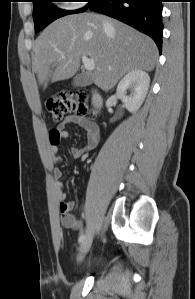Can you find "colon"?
<instances>
[{
	"mask_svg": "<svg viewBox=\"0 0 195 299\" xmlns=\"http://www.w3.org/2000/svg\"><path fill=\"white\" fill-rule=\"evenodd\" d=\"M46 109L51 114L54 122L61 121L71 112L81 116L87 115L90 112L86 95L82 92L50 97L46 101Z\"/></svg>",
	"mask_w": 195,
	"mask_h": 299,
	"instance_id": "obj_1",
	"label": "colon"
}]
</instances>
